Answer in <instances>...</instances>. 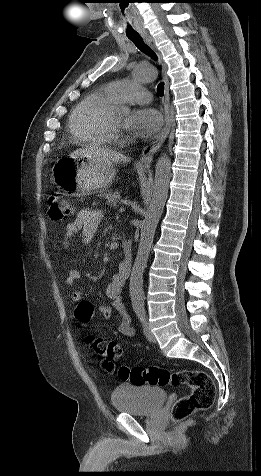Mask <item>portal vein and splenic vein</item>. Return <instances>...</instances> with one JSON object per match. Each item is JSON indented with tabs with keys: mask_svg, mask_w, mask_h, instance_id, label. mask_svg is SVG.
Here are the masks:
<instances>
[{
	"mask_svg": "<svg viewBox=\"0 0 261 476\" xmlns=\"http://www.w3.org/2000/svg\"><path fill=\"white\" fill-rule=\"evenodd\" d=\"M119 211L124 212L125 211L124 207H120Z\"/></svg>",
	"mask_w": 261,
	"mask_h": 476,
	"instance_id": "18ae733b",
	"label": "portal vein and splenic vein"
}]
</instances>
